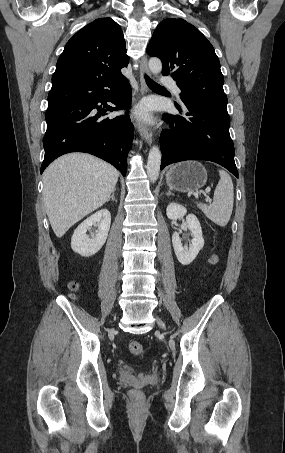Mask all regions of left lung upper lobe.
I'll use <instances>...</instances> for the list:
<instances>
[{
  "mask_svg": "<svg viewBox=\"0 0 285 453\" xmlns=\"http://www.w3.org/2000/svg\"><path fill=\"white\" fill-rule=\"evenodd\" d=\"M147 53L161 59L162 73L176 80L183 103L197 100L227 105L219 59L211 43L190 23L181 18L164 19L153 33Z\"/></svg>",
  "mask_w": 285,
  "mask_h": 453,
  "instance_id": "5c2ea615",
  "label": "left lung upper lobe"
}]
</instances>
